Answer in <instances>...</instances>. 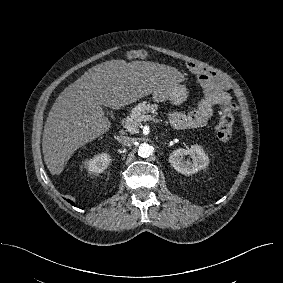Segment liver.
Wrapping results in <instances>:
<instances>
[{"mask_svg":"<svg viewBox=\"0 0 283 283\" xmlns=\"http://www.w3.org/2000/svg\"><path fill=\"white\" fill-rule=\"evenodd\" d=\"M181 77L151 61L110 60L90 68L60 93L47 116L42 150L50 173L60 174L77 149L109 131L102 107L124 108Z\"/></svg>","mask_w":283,"mask_h":283,"instance_id":"obj_1","label":"liver"}]
</instances>
